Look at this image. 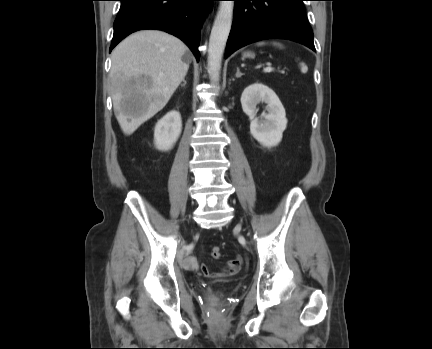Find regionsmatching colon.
Wrapping results in <instances>:
<instances>
[{
  "instance_id": "obj_1",
  "label": "colon",
  "mask_w": 432,
  "mask_h": 349,
  "mask_svg": "<svg viewBox=\"0 0 432 349\" xmlns=\"http://www.w3.org/2000/svg\"><path fill=\"white\" fill-rule=\"evenodd\" d=\"M211 256H212L214 259H219V258L221 257V249H220L219 247H217V246H214V247L211 249Z\"/></svg>"
}]
</instances>
